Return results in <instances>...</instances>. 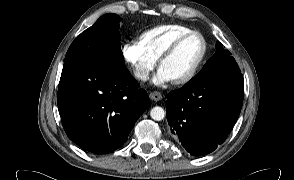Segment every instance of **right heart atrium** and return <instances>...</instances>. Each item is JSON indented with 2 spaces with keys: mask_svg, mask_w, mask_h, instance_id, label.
Segmentation results:
<instances>
[{
  "mask_svg": "<svg viewBox=\"0 0 294 180\" xmlns=\"http://www.w3.org/2000/svg\"><path fill=\"white\" fill-rule=\"evenodd\" d=\"M122 55L131 68L133 76L139 81H145L157 64V59L137 40L125 42L122 46Z\"/></svg>",
  "mask_w": 294,
  "mask_h": 180,
  "instance_id": "d8ad5b80",
  "label": "right heart atrium"
}]
</instances>
